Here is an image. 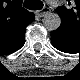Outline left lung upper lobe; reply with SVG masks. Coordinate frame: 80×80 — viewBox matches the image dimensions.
<instances>
[{"instance_id": "obj_1", "label": "left lung upper lobe", "mask_w": 80, "mask_h": 80, "mask_svg": "<svg viewBox=\"0 0 80 80\" xmlns=\"http://www.w3.org/2000/svg\"><path fill=\"white\" fill-rule=\"evenodd\" d=\"M63 28H64V27H62V28L59 30V32H58V35H59V36H62V35L65 33L66 30H63Z\"/></svg>"}]
</instances>
